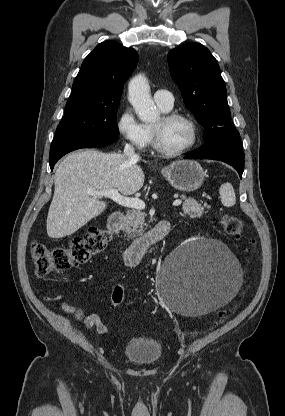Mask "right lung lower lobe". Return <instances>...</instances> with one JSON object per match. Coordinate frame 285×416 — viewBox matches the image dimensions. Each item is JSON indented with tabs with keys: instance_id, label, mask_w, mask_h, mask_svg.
Segmentation results:
<instances>
[{
	"instance_id": "right-lung-lower-lobe-1",
	"label": "right lung lower lobe",
	"mask_w": 285,
	"mask_h": 416,
	"mask_svg": "<svg viewBox=\"0 0 285 416\" xmlns=\"http://www.w3.org/2000/svg\"><path fill=\"white\" fill-rule=\"evenodd\" d=\"M113 136L69 135L54 137L51 147L49 163L53 170L55 163L65 154L81 148H99L117 140Z\"/></svg>"
}]
</instances>
